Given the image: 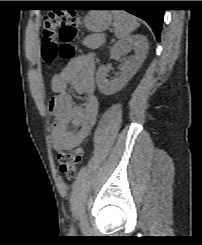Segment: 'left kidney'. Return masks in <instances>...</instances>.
I'll return each instance as SVG.
<instances>
[{"mask_svg":"<svg viewBox=\"0 0 202 245\" xmlns=\"http://www.w3.org/2000/svg\"><path fill=\"white\" fill-rule=\"evenodd\" d=\"M128 49L133 50L134 55L121 67V72L117 77L108 80V69L105 65L99 67L96 82L102 94L111 95L120 91L128 81L136 74L148 52V40L143 35L129 36L116 42L110 50L112 56L118 55L121 51Z\"/></svg>","mask_w":202,"mask_h":245,"instance_id":"obj_1","label":"left kidney"}]
</instances>
